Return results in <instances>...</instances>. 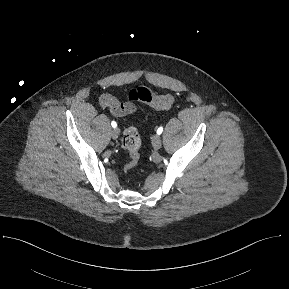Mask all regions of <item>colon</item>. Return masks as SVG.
Returning a JSON list of instances; mask_svg holds the SVG:
<instances>
[{
	"instance_id": "obj_1",
	"label": "colon",
	"mask_w": 289,
	"mask_h": 289,
	"mask_svg": "<svg viewBox=\"0 0 289 289\" xmlns=\"http://www.w3.org/2000/svg\"><path fill=\"white\" fill-rule=\"evenodd\" d=\"M129 100L142 102L156 109H167L173 104L174 98L170 94L158 95L145 87H139L129 93ZM122 146L130 155V161L124 167L125 172H128L137 164L141 146V139L134 124H129L124 129Z\"/></svg>"
}]
</instances>
